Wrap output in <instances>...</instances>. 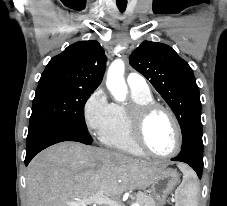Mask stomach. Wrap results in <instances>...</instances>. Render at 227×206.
<instances>
[{
  "label": "stomach",
  "instance_id": "stomach-1",
  "mask_svg": "<svg viewBox=\"0 0 227 206\" xmlns=\"http://www.w3.org/2000/svg\"><path fill=\"white\" fill-rule=\"evenodd\" d=\"M179 181L178 172L171 168H165L155 176L150 185L158 206H162L165 203L167 196L172 192Z\"/></svg>",
  "mask_w": 227,
  "mask_h": 206
}]
</instances>
